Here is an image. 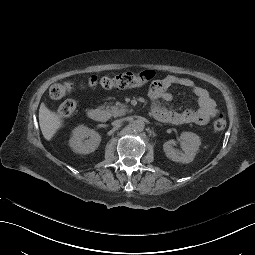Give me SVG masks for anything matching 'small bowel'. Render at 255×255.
<instances>
[{"label": "small bowel", "mask_w": 255, "mask_h": 255, "mask_svg": "<svg viewBox=\"0 0 255 255\" xmlns=\"http://www.w3.org/2000/svg\"><path fill=\"white\" fill-rule=\"evenodd\" d=\"M172 85H181L191 90L198 99V108L196 110L174 111L167 110L171 115L170 122L173 124L194 123L197 125H206L216 115L218 109L215 101L207 89L198 85L189 78L179 77L176 75H168L152 82L149 89V96L155 103V108H160L157 102L160 99L168 100L170 94L166 90Z\"/></svg>", "instance_id": "obj_1"}]
</instances>
